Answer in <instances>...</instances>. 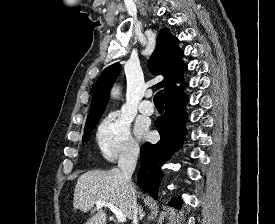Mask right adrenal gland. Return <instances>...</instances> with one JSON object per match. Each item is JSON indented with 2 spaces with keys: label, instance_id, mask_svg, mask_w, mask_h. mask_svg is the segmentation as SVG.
Listing matches in <instances>:
<instances>
[{
  "label": "right adrenal gland",
  "instance_id": "1",
  "mask_svg": "<svg viewBox=\"0 0 275 224\" xmlns=\"http://www.w3.org/2000/svg\"><path fill=\"white\" fill-rule=\"evenodd\" d=\"M138 215H139V220L142 221L143 217L145 216V212L143 211L142 207H138Z\"/></svg>",
  "mask_w": 275,
  "mask_h": 224
}]
</instances>
